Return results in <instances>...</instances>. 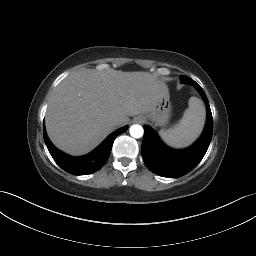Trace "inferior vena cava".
I'll use <instances>...</instances> for the list:
<instances>
[{
    "mask_svg": "<svg viewBox=\"0 0 256 256\" xmlns=\"http://www.w3.org/2000/svg\"><path fill=\"white\" fill-rule=\"evenodd\" d=\"M113 126H119L120 125V121L119 120H115L112 123Z\"/></svg>",
    "mask_w": 256,
    "mask_h": 256,
    "instance_id": "obj_1",
    "label": "inferior vena cava"
}]
</instances>
